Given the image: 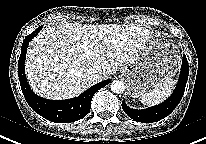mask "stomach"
<instances>
[{"label":"stomach","instance_id":"stomach-1","mask_svg":"<svg viewBox=\"0 0 206 144\" xmlns=\"http://www.w3.org/2000/svg\"><path fill=\"white\" fill-rule=\"evenodd\" d=\"M180 55L176 46L165 37L150 32L136 58L122 68L131 97L159 88L177 73Z\"/></svg>","mask_w":206,"mask_h":144}]
</instances>
